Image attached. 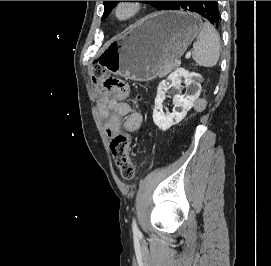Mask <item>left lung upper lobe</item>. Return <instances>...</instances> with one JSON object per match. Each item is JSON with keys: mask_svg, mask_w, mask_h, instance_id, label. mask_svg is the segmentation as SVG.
Masks as SVG:
<instances>
[{"mask_svg": "<svg viewBox=\"0 0 271 266\" xmlns=\"http://www.w3.org/2000/svg\"><path fill=\"white\" fill-rule=\"evenodd\" d=\"M120 1H103L104 4V14L102 16V20L105 19L112 9L117 5ZM150 3L152 6L156 7L158 10L164 9L171 1H143Z\"/></svg>", "mask_w": 271, "mask_h": 266, "instance_id": "obj_1", "label": "left lung upper lobe"}]
</instances>
